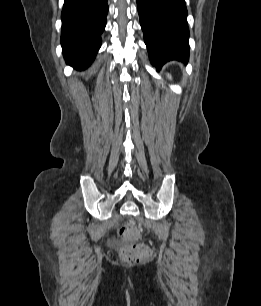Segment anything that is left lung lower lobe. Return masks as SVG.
Here are the masks:
<instances>
[{"mask_svg": "<svg viewBox=\"0 0 261 306\" xmlns=\"http://www.w3.org/2000/svg\"><path fill=\"white\" fill-rule=\"evenodd\" d=\"M140 24L152 64L188 60L189 29L184 0H137Z\"/></svg>", "mask_w": 261, "mask_h": 306, "instance_id": "1", "label": "left lung lower lobe"}]
</instances>
